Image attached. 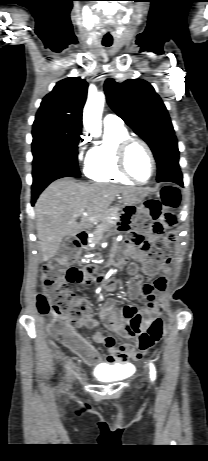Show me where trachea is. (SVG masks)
Returning a JSON list of instances; mask_svg holds the SVG:
<instances>
[{
	"label": "trachea",
	"mask_w": 208,
	"mask_h": 461,
	"mask_svg": "<svg viewBox=\"0 0 208 461\" xmlns=\"http://www.w3.org/2000/svg\"><path fill=\"white\" fill-rule=\"evenodd\" d=\"M105 47H109L111 46V44H103Z\"/></svg>",
	"instance_id": "trachea-1"
}]
</instances>
